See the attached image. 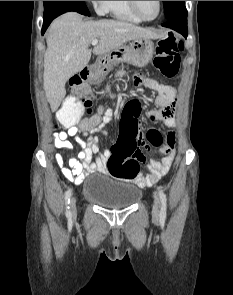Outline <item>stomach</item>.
Returning <instances> with one entry per match:
<instances>
[{"mask_svg": "<svg viewBox=\"0 0 233 295\" xmlns=\"http://www.w3.org/2000/svg\"><path fill=\"white\" fill-rule=\"evenodd\" d=\"M154 52V44L150 38H135L127 46L119 47L108 54L105 63L99 62L97 70L90 74L89 80L94 83L101 82L112 66L120 62L144 67L152 60Z\"/></svg>", "mask_w": 233, "mask_h": 295, "instance_id": "stomach-1", "label": "stomach"}]
</instances>
